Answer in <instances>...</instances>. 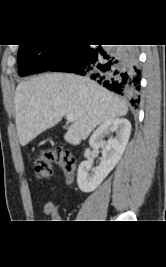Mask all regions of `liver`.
<instances>
[{"mask_svg":"<svg viewBox=\"0 0 166 267\" xmlns=\"http://www.w3.org/2000/svg\"><path fill=\"white\" fill-rule=\"evenodd\" d=\"M15 123L19 142L27 145L64 115L75 120L64 135L77 145L106 120L124 116L126 102L87 77L45 73L20 82L15 92Z\"/></svg>","mask_w":166,"mask_h":267,"instance_id":"6515ba94","label":"liver"}]
</instances>
